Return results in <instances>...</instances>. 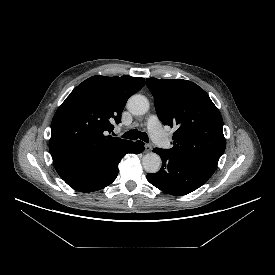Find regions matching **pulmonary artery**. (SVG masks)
Segmentation results:
<instances>
[{"mask_svg": "<svg viewBox=\"0 0 275 275\" xmlns=\"http://www.w3.org/2000/svg\"><path fill=\"white\" fill-rule=\"evenodd\" d=\"M147 128L153 141L162 148H167L169 146V141L164 134L160 121L157 116L152 115L147 122Z\"/></svg>", "mask_w": 275, "mask_h": 275, "instance_id": "pulmonary-artery-1", "label": "pulmonary artery"}]
</instances>
